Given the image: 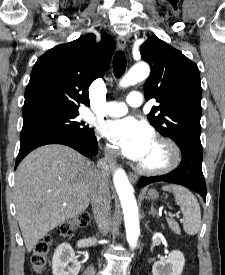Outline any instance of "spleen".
<instances>
[{
  "label": "spleen",
  "instance_id": "obj_1",
  "mask_svg": "<svg viewBox=\"0 0 225 275\" xmlns=\"http://www.w3.org/2000/svg\"><path fill=\"white\" fill-rule=\"evenodd\" d=\"M162 190L172 192L175 202L183 213V229L189 235H196L201 227V210L197 198L188 189L179 185H166Z\"/></svg>",
  "mask_w": 225,
  "mask_h": 275
}]
</instances>
